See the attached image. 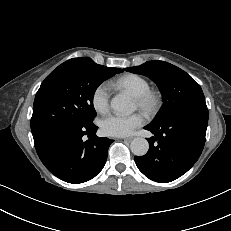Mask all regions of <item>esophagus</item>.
Here are the masks:
<instances>
[{"label": "esophagus", "mask_w": 231, "mask_h": 231, "mask_svg": "<svg viewBox=\"0 0 231 231\" xmlns=\"http://www.w3.org/2000/svg\"><path fill=\"white\" fill-rule=\"evenodd\" d=\"M120 139L124 140V141H131L132 140V138H123V137H121Z\"/></svg>", "instance_id": "esophagus-1"}]
</instances>
